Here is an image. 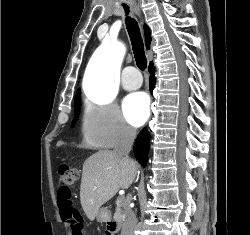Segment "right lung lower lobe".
Segmentation results:
<instances>
[{"label":"right lung lower lobe","mask_w":250,"mask_h":235,"mask_svg":"<svg viewBox=\"0 0 250 235\" xmlns=\"http://www.w3.org/2000/svg\"><path fill=\"white\" fill-rule=\"evenodd\" d=\"M150 76V91L154 89L155 77H154V65L151 62L149 65ZM150 148V133L147 128H144L138 135L134 144V154L136 159L145 167L147 164L148 151Z\"/></svg>","instance_id":"1"}]
</instances>
